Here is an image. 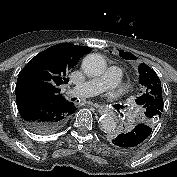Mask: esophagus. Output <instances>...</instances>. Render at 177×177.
<instances>
[{"label":"esophagus","instance_id":"34e87169","mask_svg":"<svg viewBox=\"0 0 177 177\" xmlns=\"http://www.w3.org/2000/svg\"><path fill=\"white\" fill-rule=\"evenodd\" d=\"M95 107L97 108V110L101 113V112H107L109 111L108 108L104 105H95Z\"/></svg>","mask_w":177,"mask_h":177}]
</instances>
